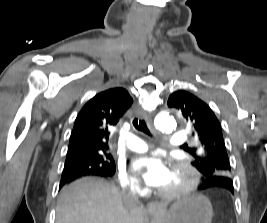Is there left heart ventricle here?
I'll return each instance as SVG.
<instances>
[{
    "instance_id": "obj_1",
    "label": "left heart ventricle",
    "mask_w": 267,
    "mask_h": 223,
    "mask_svg": "<svg viewBox=\"0 0 267 223\" xmlns=\"http://www.w3.org/2000/svg\"><path fill=\"white\" fill-rule=\"evenodd\" d=\"M187 177L184 174H171L168 182L161 188L162 190H171L185 185Z\"/></svg>"
}]
</instances>
